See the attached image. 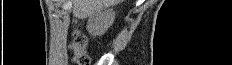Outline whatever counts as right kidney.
Wrapping results in <instances>:
<instances>
[{
  "label": "right kidney",
  "instance_id": "ca27d5eb",
  "mask_svg": "<svg viewBox=\"0 0 232 65\" xmlns=\"http://www.w3.org/2000/svg\"><path fill=\"white\" fill-rule=\"evenodd\" d=\"M115 20V12L112 9L99 10L88 19L87 30L93 36L103 35Z\"/></svg>",
  "mask_w": 232,
  "mask_h": 65
}]
</instances>
